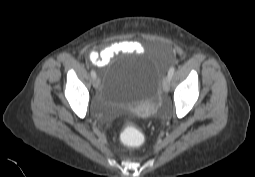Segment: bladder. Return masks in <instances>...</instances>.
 I'll return each mask as SVG.
<instances>
[{
	"label": "bladder",
	"instance_id": "31cf9c89",
	"mask_svg": "<svg viewBox=\"0 0 255 177\" xmlns=\"http://www.w3.org/2000/svg\"><path fill=\"white\" fill-rule=\"evenodd\" d=\"M160 78V66L154 58L127 57L106 75L101 96L113 107L145 109L159 101Z\"/></svg>",
	"mask_w": 255,
	"mask_h": 177
}]
</instances>
